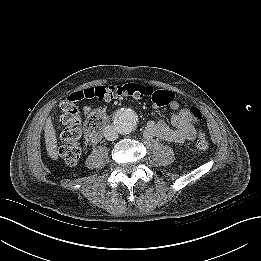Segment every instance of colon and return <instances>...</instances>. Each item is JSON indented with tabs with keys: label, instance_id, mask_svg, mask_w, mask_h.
Here are the masks:
<instances>
[{
	"label": "colon",
	"instance_id": "5ec220e1",
	"mask_svg": "<svg viewBox=\"0 0 261 261\" xmlns=\"http://www.w3.org/2000/svg\"><path fill=\"white\" fill-rule=\"evenodd\" d=\"M125 96L137 99L151 97L159 107L169 105L174 99V94L169 91L155 90L152 86L138 83L102 85L72 94L61 103L59 116V121L64 127L61 133L63 144L59 149V154L67 164H77L81 156L78 140L82 136V120L79 115L78 103L83 99L110 101ZM190 110L195 120L199 122L202 118L200 111L196 107H191ZM104 122L105 114L102 110L95 109L91 112L85 125L89 142L95 143L99 140ZM196 147L202 151L208 148V140L202 131H199L197 135Z\"/></svg>",
	"mask_w": 261,
	"mask_h": 261
}]
</instances>
